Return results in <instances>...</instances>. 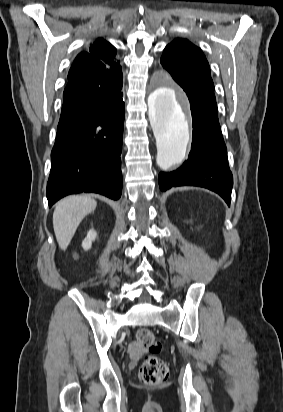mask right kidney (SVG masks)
I'll return each mask as SVG.
<instances>
[{"label":"right kidney","instance_id":"ca27d5eb","mask_svg":"<svg viewBox=\"0 0 283 412\" xmlns=\"http://www.w3.org/2000/svg\"><path fill=\"white\" fill-rule=\"evenodd\" d=\"M96 236L97 233L93 229L88 232L87 237L82 242V247L84 250H88L91 248L92 241L95 240Z\"/></svg>","mask_w":283,"mask_h":412}]
</instances>
